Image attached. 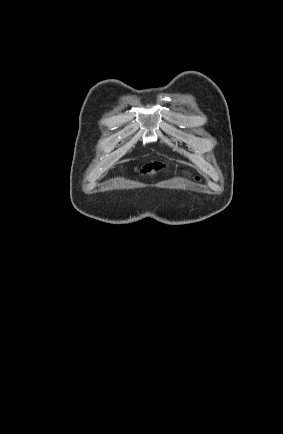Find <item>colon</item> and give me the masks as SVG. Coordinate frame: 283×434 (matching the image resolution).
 Segmentation results:
<instances>
[{
	"label": "colon",
	"instance_id": "obj_1",
	"mask_svg": "<svg viewBox=\"0 0 283 434\" xmlns=\"http://www.w3.org/2000/svg\"><path fill=\"white\" fill-rule=\"evenodd\" d=\"M159 168H161L160 164H153V165H148L144 167V171L143 172H148L151 170H158Z\"/></svg>",
	"mask_w": 283,
	"mask_h": 434
}]
</instances>
